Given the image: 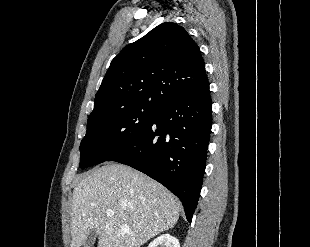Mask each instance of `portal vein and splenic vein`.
I'll return each mask as SVG.
<instances>
[{"label": "portal vein and splenic vein", "instance_id": "obj_1", "mask_svg": "<svg viewBox=\"0 0 310 247\" xmlns=\"http://www.w3.org/2000/svg\"><path fill=\"white\" fill-rule=\"evenodd\" d=\"M106 215H107L108 217H111V216L114 215V212H113L112 210H107V211H106ZM121 228H122V230H124V231L130 233V229H129V227H128L127 225H122Z\"/></svg>", "mask_w": 310, "mask_h": 247}]
</instances>
